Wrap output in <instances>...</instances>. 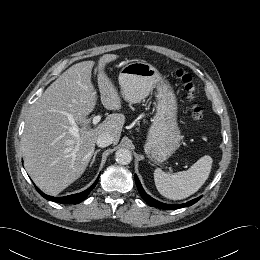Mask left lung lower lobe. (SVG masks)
Returning <instances> with one entry per match:
<instances>
[{"label": "left lung lower lobe", "mask_w": 260, "mask_h": 260, "mask_svg": "<svg viewBox=\"0 0 260 260\" xmlns=\"http://www.w3.org/2000/svg\"><path fill=\"white\" fill-rule=\"evenodd\" d=\"M135 181H136V185H137V188H138V191L141 195V197L144 199V201H146V203H148V205L150 206H153V207H158L160 209H166V210H169V209H177V208H180V207H186V206H191L192 204L196 203L200 198H196V199H193L183 205H170V204H164V203H161L155 199H153L152 197H150L149 195H147L145 193V191L143 190L142 186H141V183L138 179V177L135 175Z\"/></svg>", "instance_id": "left-lung-lower-lobe-1"}]
</instances>
